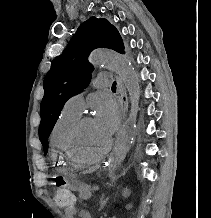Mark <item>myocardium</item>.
<instances>
[{"instance_id":"f54148a6","label":"myocardium","mask_w":211,"mask_h":218,"mask_svg":"<svg viewBox=\"0 0 211 218\" xmlns=\"http://www.w3.org/2000/svg\"><path fill=\"white\" fill-rule=\"evenodd\" d=\"M91 119H92L91 116L80 117L74 123V125L71 127L68 133V138H67L68 147H69L68 155L74 162L91 163V162L98 161L104 158L106 155H108L114 145V140L113 138H111L109 145L105 149L97 153H82L79 151L77 145L79 132L82 129L83 125Z\"/></svg>"}]
</instances>
